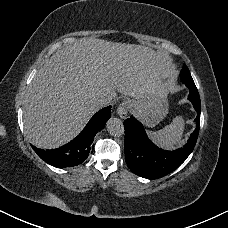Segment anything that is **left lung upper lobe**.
Segmentation results:
<instances>
[{
    "instance_id": "obj_1",
    "label": "left lung upper lobe",
    "mask_w": 228,
    "mask_h": 228,
    "mask_svg": "<svg viewBox=\"0 0 228 228\" xmlns=\"http://www.w3.org/2000/svg\"><path fill=\"white\" fill-rule=\"evenodd\" d=\"M190 76L191 75H190L188 68L184 65L181 75H180L181 81L184 82L185 78L190 77Z\"/></svg>"
}]
</instances>
